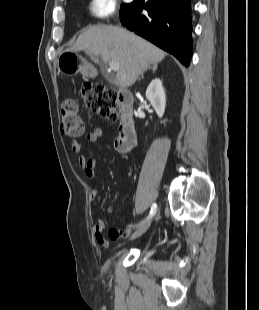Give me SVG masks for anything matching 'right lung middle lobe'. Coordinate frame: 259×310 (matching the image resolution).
Instances as JSON below:
<instances>
[{
  "label": "right lung middle lobe",
  "instance_id": "obj_1",
  "mask_svg": "<svg viewBox=\"0 0 259 310\" xmlns=\"http://www.w3.org/2000/svg\"><path fill=\"white\" fill-rule=\"evenodd\" d=\"M130 6V4H122L121 5V10H120V14L122 13V12H124L128 7Z\"/></svg>",
  "mask_w": 259,
  "mask_h": 310
}]
</instances>
